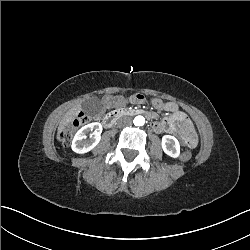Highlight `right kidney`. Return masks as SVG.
Instances as JSON below:
<instances>
[{
	"label": "right kidney",
	"instance_id": "1",
	"mask_svg": "<svg viewBox=\"0 0 250 250\" xmlns=\"http://www.w3.org/2000/svg\"><path fill=\"white\" fill-rule=\"evenodd\" d=\"M92 137L90 140H85L87 138L86 133L92 131ZM102 125L98 122H93L88 125L83 126L75 134L71 148L74 152L83 154L92 150L101 140Z\"/></svg>",
	"mask_w": 250,
	"mask_h": 250
}]
</instances>
